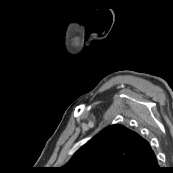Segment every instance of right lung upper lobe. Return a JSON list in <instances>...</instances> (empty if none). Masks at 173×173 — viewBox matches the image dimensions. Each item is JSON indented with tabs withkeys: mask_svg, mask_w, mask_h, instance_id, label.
I'll return each mask as SVG.
<instances>
[{
	"mask_svg": "<svg viewBox=\"0 0 173 173\" xmlns=\"http://www.w3.org/2000/svg\"><path fill=\"white\" fill-rule=\"evenodd\" d=\"M153 150L143 137L122 125H111L90 139L59 168V173H124Z\"/></svg>",
	"mask_w": 173,
	"mask_h": 173,
	"instance_id": "cb5924a9",
	"label": "right lung upper lobe"
}]
</instances>
